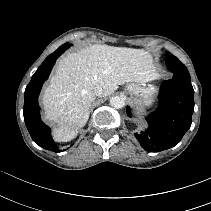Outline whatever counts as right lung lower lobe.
<instances>
[{
	"label": "right lung lower lobe",
	"instance_id": "obj_1",
	"mask_svg": "<svg viewBox=\"0 0 211 211\" xmlns=\"http://www.w3.org/2000/svg\"><path fill=\"white\" fill-rule=\"evenodd\" d=\"M62 51H57L51 54L37 69L32 76L30 83L25 89L24 100V120L27 129L33 141L44 149L55 152H62L54 143L50 128L44 124L40 118V109L38 105V95L44 81L48 78L56 59L62 54Z\"/></svg>",
	"mask_w": 211,
	"mask_h": 211
}]
</instances>
